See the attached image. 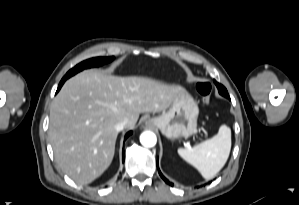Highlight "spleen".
Segmentation results:
<instances>
[{
	"label": "spleen",
	"mask_w": 299,
	"mask_h": 205,
	"mask_svg": "<svg viewBox=\"0 0 299 205\" xmlns=\"http://www.w3.org/2000/svg\"><path fill=\"white\" fill-rule=\"evenodd\" d=\"M231 150V130L222 125L218 133L193 148H179L178 154L205 179H212L224 167Z\"/></svg>",
	"instance_id": "spleen-1"
}]
</instances>
